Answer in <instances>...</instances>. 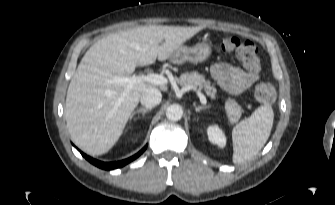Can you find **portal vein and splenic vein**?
Returning <instances> with one entry per match:
<instances>
[{"label": "portal vein and splenic vein", "instance_id": "obj_1", "mask_svg": "<svg viewBox=\"0 0 335 205\" xmlns=\"http://www.w3.org/2000/svg\"><path fill=\"white\" fill-rule=\"evenodd\" d=\"M167 78H165L161 74H155V73H149V74H142L139 76H132V77H121V78H116L115 82L117 83H123L127 84V89L132 88L134 84L142 83V82H148L152 83L155 85H165L167 84ZM197 96L200 99V102L202 104H206L207 100L206 97L203 93H201L199 90H196Z\"/></svg>", "mask_w": 335, "mask_h": 205}]
</instances>
